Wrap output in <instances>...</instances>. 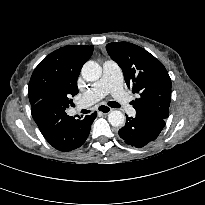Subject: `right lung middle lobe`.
I'll list each match as a JSON object with an SVG mask.
<instances>
[{
	"instance_id": "obj_1",
	"label": "right lung middle lobe",
	"mask_w": 205,
	"mask_h": 205,
	"mask_svg": "<svg viewBox=\"0 0 205 205\" xmlns=\"http://www.w3.org/2000/svg\"><path fill=\"white\" fill-rule=\"evenodd\" d=\"M74 94L72 93H68V92H61L57 95H55L54 97L57 98V100L60 102V104L66 108L69 107L70 104H72V99L71 97H73Z\"/></svg>"
}]
</instances>
